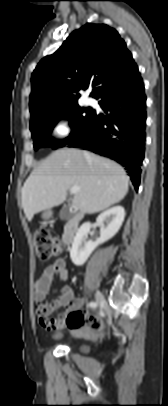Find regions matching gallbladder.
I'll return each instance as SVG.
<instances>
[{"instance_id": "1", "label": "gallbladder", "mask_w": 168, "mask_h": 406, "mask_svg": "<svg viewBox=\"0 0 168 406\" xmlns=\"http://www.w3.org/2000/svg\"><path fill=\"white\" fill-rule=\"evenodd\" d=\"M59 216L62 220H67L73 216V213L70 211V203L65 205L59 213Z\"/></svg>"}]
</instances>
